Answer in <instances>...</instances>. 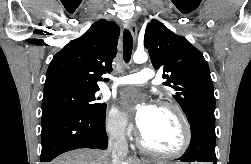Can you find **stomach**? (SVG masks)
<instances>
[{
  "label": "stomach",
  "instance_id": "1",
  "mask_svg": "<svg viewBox=\"0 0 251 164\" xmlns=\"http://www.w3.org/2000/svg\"><path fill=\"white\" fill-rule=\"evenodd\" d=\"M156 164H165V163H163V162H158V163H156ZM175 164H178V163H175Z\"/></svg>",
  "mask_w": 251,
  "mask_h": 164
}]
</instances>
